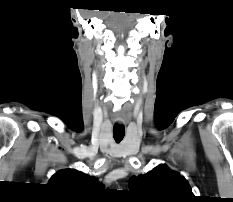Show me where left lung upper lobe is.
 <instances>
[{"mask_svg":"<svg viewBox=\"0 0 233 202\" xmlns=\"http://www.w3.org/2000/svg\"><path fill=\"white\" fill-rule=\"evenodd\" d=\"M129 187L146 202H190L195 196L185 178L164 164L131 177Z\"/></svg>","mask_w":233,"mask_h":202,"instance_id":"1","label":"left lung upper lobe"}]
</instances>
